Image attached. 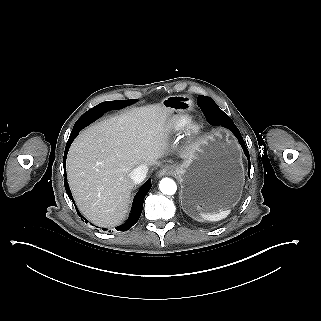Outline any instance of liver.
Listing matches in <instances>:
<instances>
[{
  "mask_svg": "<svg viewBox=\"0 0 321 321\" xmlns=\"http://www.w3.org/2000/svg\"><path fill=\"white\" fill-rule=\"evenodd\" d=\"M167 109L161 105L134 108L83 131L67 158L73 195L93 222L120 223L128 209L134 181L130 172L152 163L165 146Z\"/></svg>",
  "mask_w": 321,
  "mask_h": 321,
  "instance_id": "obj_1",
  "label": "liver"
}]
</instances>
